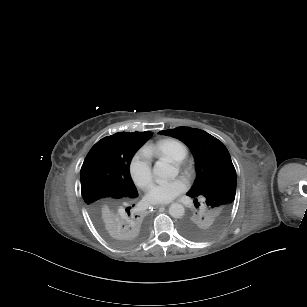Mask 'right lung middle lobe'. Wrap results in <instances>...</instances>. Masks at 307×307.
Segmentation results:
<instances>
[{
  "label": "right lung middle lobe",
  "mask_w": 307,
  "mask_h": 307,
  "mask_svg": "<svg viewBox=\"0 0 307 307\" xmlns=\"http://www.w3.org/2000/svg\"><path fill=\"white\" fill-rule=\"evenodd\" d=\"M80 177L81 194L85 203L109 196L120 187L116 175L93 158H85Z\"/></svg>",
  "instance_id": "obj_1"
}]
</instances>
